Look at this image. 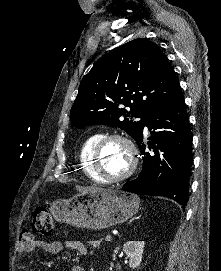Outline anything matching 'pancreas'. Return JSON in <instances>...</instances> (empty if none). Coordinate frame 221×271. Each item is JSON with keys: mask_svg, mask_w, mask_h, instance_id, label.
Returning a JSON list of instances; mask_svg holds the SVG:
<instances>
[{"mask_svg": "<svg viewBox=\"0 0 221 271\" xmlns=\"http://www.w3.org/2000/svg\"><path fill=\"white\" fill-rule=\"evenodd\" d=\"M88 243L90 244V247H102L103 239H89Z\"/></svg>", "mask_w": 221, "mask_h": 271, "instance_id": "obj_1", "label": "pancreas"}]
</instances>
